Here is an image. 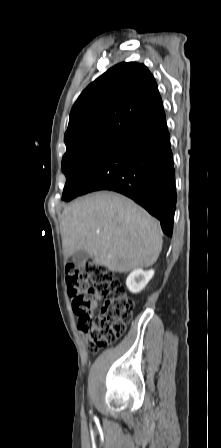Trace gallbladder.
I'll return each mask as SVG.
<instances>
[{
    "label": "gallbladder",
    "mask_w": 221,
    "mask_h": 448,
    "mask_svg": "<svg viewBox=\"0 0 221 448\" xmlns=\"http://www.w3.org/2000/svg\"><path fill=\"white\" fill-rule=\"evenodd\" d=\"M88 258L89 254L86 250H78L72 256L73 263L76 267L84 265Z\"/></svg>",
    "instance_id": "1"
}]
</instances>
